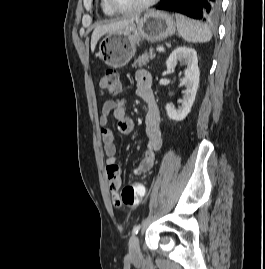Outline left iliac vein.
Listing matches in <instances>:
<instances>
[{
    "label": "left iliac vein",
    "mask_w": 265,
    "mask_h": 269,
    "mask_svg": "<svg viewBox=\"0 0 265 269\" xmlns=\"http://www.w3.org/2000/svg\"><path fill=\"white\" fill-rule=\"evenodd\" d=\"M141 256L139 238L137 235H133L129 241V257L132 260H138Z\"/></svg>",
    "instance_id": "left-iliac-vein-1"
}]
</instances>
